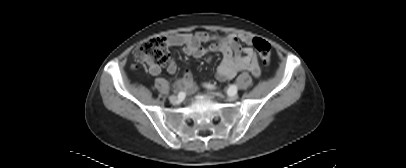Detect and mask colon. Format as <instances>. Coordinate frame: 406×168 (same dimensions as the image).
I'll use <instances>...</instances> for the list:
<instances>
[{"instance_id":"colon-1","label":"colon","mask_w":406,"mask_h":168,"mask_svg":"<svg viewBox=\"0 0 406 168\" xmlns=\"http://www.w3.org/2000/svg\"><path fill=\"white\" fill-rule=\"evenodd\" d=\"M252 45L260 55L264 65L270 64V44L259 37H254ZM134 57L149 66L162 65L167 62L169 53L167 49V39L155 36L142 42L134 51Z\"/></svg>"}]
</instances>
